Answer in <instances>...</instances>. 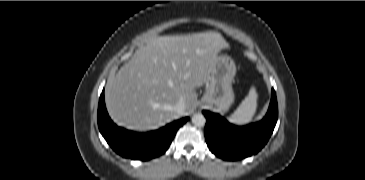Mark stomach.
I'll return each mask as SVG.
<instances>
[{"label":"stomach","mask_w":365,"mask_h":180,"mask_svg":"<svg viewBox=\"0 0 365 180\" xmlns=\"http://www.w3.org/2000/svg\"><path fill=\"white\" fill-rule=\"evenodd\" d=\"M236 75V65L227 55H218L206 83V92L202 97V104L215 106L225 112L234 102L232 83Z\"/></svg>","instance_id":"stomach-1"}]
</instances>
